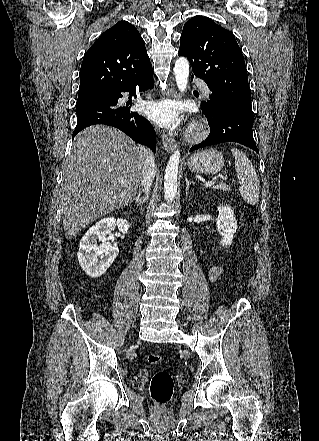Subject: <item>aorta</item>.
<instances>
[{
	"label": "aorta",
	"instance_id": "aorta-1",
	"mask_svg": "<svg viewBox=\"0 0 319 441\" xmlns=\"http://www.w3.org/2000/svg\"><path fill=\"white\" fill-rule=\"evenodd\" d=\"M174 73L177 87L181 92L187 89L189 77V61L185 57H179L175 62ZM180 163V151L176 150L170 156L164 176V198L172 202L177 194V176Z\"/></svg>",
	"mask_w": 319,
	"mask_h": 441
}]
</instances>
